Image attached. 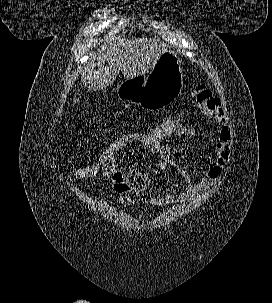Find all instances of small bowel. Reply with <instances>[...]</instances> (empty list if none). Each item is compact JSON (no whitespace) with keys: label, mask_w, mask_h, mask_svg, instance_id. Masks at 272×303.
<instances>
[{"label":"small bowel","mask_w":272,"mask_h":303,"mask_svg":"<svg viewBox=\"0 0 272 303\" xmlns=\"http://www.w3.org/2000/svg\"><path fill=\"white\" fill-rule=\"evenodd\" d=\"M191 97L202 114L215 124V140L213 141L211 164L202 171L198 181L193 182L188 170L173 161L167 145L159 144L140 148L158 157V169H175L184 183L183 192H169L165 195H148L146 201L154 206L162 207L170 204H184L189 202L193 197L201 194L219 181L223 167L229 160L231 133L221 101L214 97L211 91L203 85L195 87ZM194 135L195 131L189 126L176 134L177 137L183 138L193 137ZM145 175L148 174L138 169L127 172L116 169L111 173L104 174L103 177L110 180L115 192L120 197H123L136 191L141 186Z\"/></svg>","instance_id":"small-bowel-1"}]
</instances>
